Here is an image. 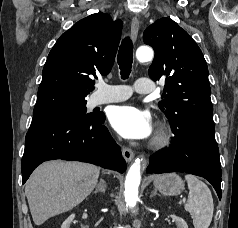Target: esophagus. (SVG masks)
Returning a JSON list of instances; mask_svg holds the SVG:
<instances>
[{
    "label": "esophagus",
    "mask_w": 238,
    "mask_h": 228,
    "mask_svg": "<svg viewBox=\"0 0 238 228\" xmlns=\"http://www.w3.org/2000/svg\"><path fill=\"white\" fill-rule=\"evenodd\" d=\"M139 27H140V22H139L138 18L136 16H134L131 21V37H132L133 41H136V39H137ZM122 154H123L124 159L127 162H131L134 158V152L129 148L123 147Z\"/></svg>",
    "instance_id": "obj_1"
}]
</instances>
